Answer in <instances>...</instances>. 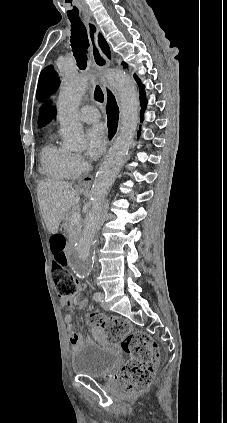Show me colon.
I'll use <instances>...</instances> for the list:
<instances>
[{
	"label": "colon",
	"mask_w": 227,
	"mask_h": 423,
	"mask_svg": "<svg viewBox=\"0 0 227 423\" xmlns=\"http://www.w3.org/2000/svg\"><path fill=\"white\" fill-rule=\"evenodd\" d=\"M50 244L57 292L60 297L72 296L76 293L77 286L68 271L66 239L64 235L57 233L51 237ZM89 321L94 326L107 329L110 337L122 339V348L130 356L120 373L126 390L135 393L147 388L154 379L159 362V348L156 342L142 331H132L129 324L119 318H103L91 313Z\"/></svg>",
	"instance_id": "1"
}]
</instances>
